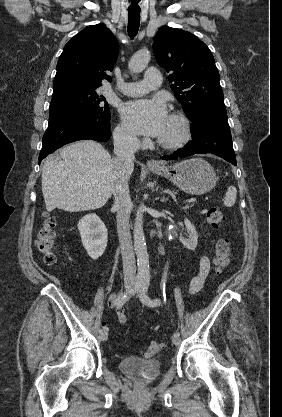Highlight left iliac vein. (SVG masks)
I'll return each instance as SVG.
<instances>
[{
  "mask_svg": "<svg viewBox=\"0 0 282 417\" xmlns=\"http://www.w3.org/2000/svg\"><path fill=\"white\" fill-rule=\"evenodd\" d=\"M172 342H173L175 345H179V344L181 343V338H180V336H176V335H174V336L172 337Z\"/></svg>",
  "mask_w": 282,
  "mask_h": 417,
  "instance_id": "obj_1",
  "label": "left iliac vein"
}]
</instances>
